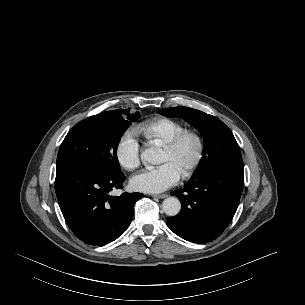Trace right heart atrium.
<instances>
[{
	"mask_svg": "<svg viewBox=\"0 0 305 305\" xmlns=\"http://www.w3.org/2000/svg\"><path fill=\"white\" fill-rule=\"evenodd\" d=\"M115 157L118 164L125 170H134L141 163V147L133 130L125 131L115 146Z\"/></svg>",
	"mask_w": 305,
	"mask_h": 305,
	"instance_id": "obj_1",
	"label": "right heart atrium"
}]
</instances>
